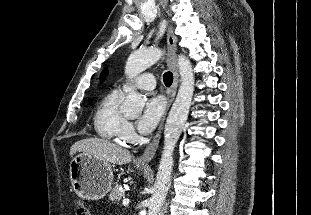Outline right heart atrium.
I'll return each instance as SVG.
<instances>
[{
  "mask_svg": "<svg viewBox=\"0 0 311 215\" xmlns=\"http://www.w3.org/2000/svg\"><path fill=\"white\" fill-rule=\"evenodd\" d=\"M122 136L125 142H132L136 138L134 127L128 121L124 125Z\"/></svg>",
  "mask_w": 311,
  "mask_h": 215,
  "instance_id": "d8ad5b80",
  "label": "right heart atrium"
}]
</instances>
